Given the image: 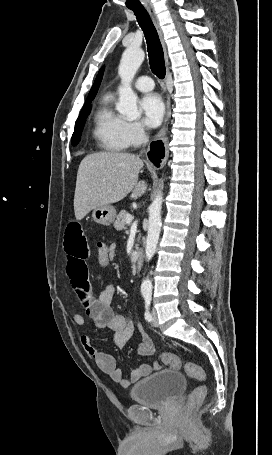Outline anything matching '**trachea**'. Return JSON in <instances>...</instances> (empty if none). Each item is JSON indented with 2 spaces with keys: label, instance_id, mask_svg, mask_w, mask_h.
<instances>
[{
  "label": "trachea",
  "instance_id": "3493384b",
  "mask_svg": "<svg viewBox=\"0 0 272 455\" xmlns=\"http://www.w3.org/2000/svg\"><path fill=\"white\" fill-rule=\"evenodd\" d=\"M131 10L136 15L137 21L146 38L150 68L158 78L163 79L166 74V68L163 48L157 30L143 6L131 8Z\"/></svg>",
  "mask_w": 272,
  "mask_h": 455
}]
</instances>
